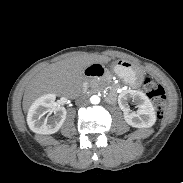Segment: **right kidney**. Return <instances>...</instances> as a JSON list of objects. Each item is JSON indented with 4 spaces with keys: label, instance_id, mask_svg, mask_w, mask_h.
<instances>
[{
    "label": "right kidney",
    "instance_id": "right-kidney-1",
    "mask_svg": "<svg viewBox=\"0 0 183 183\" xmlns=\"http://www.w3.org/2000/svg\"><path fill=\"white\" fill-rule=\"evenodd\" d=\"M54 100L55 95L49 93L38 98L30 106L27 123L33 132L37 134H53L61 128L66 119L67 111L64 107L56 105ZM52 112L54 115L51 116Z\"/></svg>",
    "mask_w": 183,
    "mask_h": 183
}]
</instances>
